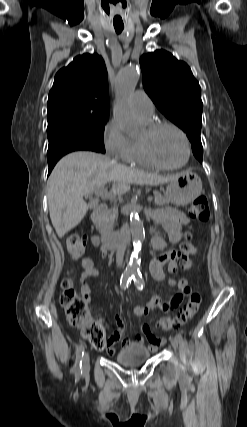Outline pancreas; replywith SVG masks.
<instances>
[{
  "instance_id": "obj_1",
  "label": "pancreas",
  "mask_w": 247,
  "mask_h": 427,
  "mask_svg": "<svg viewBox=\"0 0 247 427\" xmlns=\"http://www.w3.org/2000/svg\"><path fill=\"white\" fill-rule=\"evenodd\" d=\"M154 203L155 205H164L167 204L169 201L163 197L159 192H154ZM117 208L114 207L110 210H105L100 215V222L98 224L100 232L107 235L112 232L114 227L115 219L117 218Z\"/></svg>"
}]
</instances>
